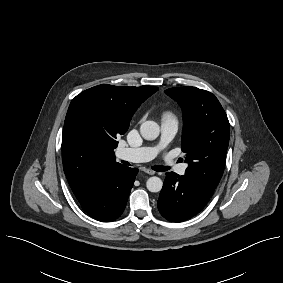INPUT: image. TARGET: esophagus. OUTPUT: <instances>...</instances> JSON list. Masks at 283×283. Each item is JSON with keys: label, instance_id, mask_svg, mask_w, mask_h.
Instances as JSON below:
<instances>
[{"label": "esophagus", "instance_id": "esophagus-1", "mask_svg": "<svg viewBox=\"0 0 283 283\" xmlns=\"http://www.w3.org/2000/svg\"><path fill=\"white\" fill-rule=\"evenodd\" d=\"M142 171H144L145 173L149 174V175H154L155 171L148 169V168H143Z\"/></svg>", "mask_w": 283, "mask_h": 283}]
</instances>
